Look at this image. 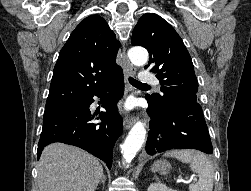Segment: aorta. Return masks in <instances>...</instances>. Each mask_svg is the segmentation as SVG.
<instances>
[{
  "instance_id": "aorta-1",
  "label": "aorta",
  "mask_w": 251,
  "mask_h": 191,
  "mask_svg": "<svg viewBox=\"0 0 251 191\" xmlns=\"http://www.w3.org/2000/svg\"><path fill=\"white\" fill-rule=\"evenodd\" d=\"M128 58L134 66H144L148 60V52L144 48H131L128 52ZM146 135L145 123L137 121L130 129L121 149L125 161H131L135 157L137 151L141 149Z\"/></svg>"
}]
</instances>
